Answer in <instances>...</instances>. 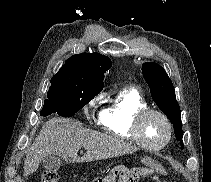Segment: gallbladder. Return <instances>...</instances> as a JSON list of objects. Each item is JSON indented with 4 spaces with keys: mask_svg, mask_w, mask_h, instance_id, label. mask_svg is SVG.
Returning <instances> with one entry per match:
<instances>
[{
    "mask_svg": "<svg viewBox=\"0 0 211 182\" xmlns=\"http://www.w3.org/2000/svg\"><path fill=\"white\" fill-rule=\"evenodd\" d=\"M60 165L61 159L57 155H50L43 160V166L49 172H56Z\"/></svg>",
    "mask_w": 211,
    "mask_h": 182,
    "instance_id": "1",
    "label": "gallbladder"
}]
</instances>
